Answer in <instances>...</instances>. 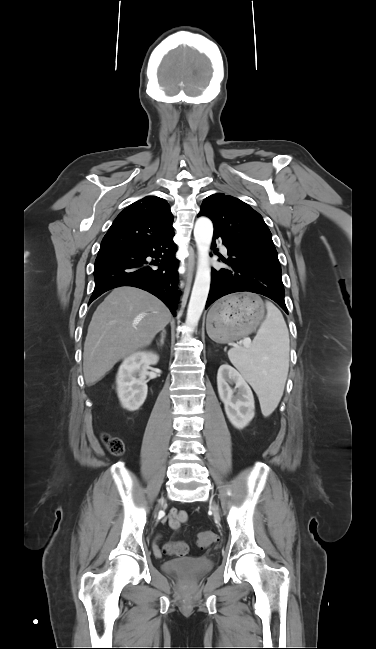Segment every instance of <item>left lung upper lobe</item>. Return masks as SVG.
I'll use <instances>...</instances> for the list:
<instances>
[{
	"instance_id": "left-lung-upper-lobe-1",
	"label": "left lung upper lobe",
	"mask_w": 376,
	"mask_h": 649,
	"mask_svg": "<svg viewBox=\"0 0 376 649\" xmlns=\"http://www.w3.org/2000/svg\"><path fill=\"white\" fill-rule=\"evenodd\" d=\"M209 217L214 233L279 262L272 235L262 216L238 198L223 193L208 196L198 216Z\"/></svg>"
}]
</instances>
